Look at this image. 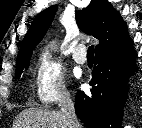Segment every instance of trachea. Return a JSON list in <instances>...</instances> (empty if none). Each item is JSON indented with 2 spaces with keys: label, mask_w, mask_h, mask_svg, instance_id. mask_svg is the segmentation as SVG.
I'll use <instances>...</instances> for the list:
<instances>
[{
  "label": "trachea",
  "mask_w": 142,
  "mask_h": 128,
  "mask_svg": "<svg viewBox=\"0 0 142 128\" xmlns=\"http://www.w3.org/2000/svg\"><path fill=\"white\" fill-rule=\"evenodd\" d=\"M87 58L94 59V45H91L87 51Z\"/></svg>",
  "instance_id": "3493384b"
}]
</instances>
